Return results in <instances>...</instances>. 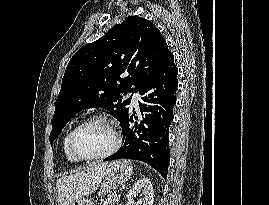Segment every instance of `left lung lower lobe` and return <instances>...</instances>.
Segmentation results:
<instances>
[{
	"instance_id": "1",
	"label": "left lung lower lobe",
	"mask_w": 269,
	"mask_h": 205,
	"mask_svg": "<svg viewBox=\"0 0 269 205\" xmlns=\"http://www.w3.org/2000/svg\"><path fill=\"white\" fill-rule=\"evenodd\" d=\"M177 74L171 53L154 78L139 91L145 102H139L140 116L129 115L128 112L121 123L123 147L104 161L122 158L143 161L166 179L170 161L169 126L176 103Z\"/></svg>"
}]
</instances>
